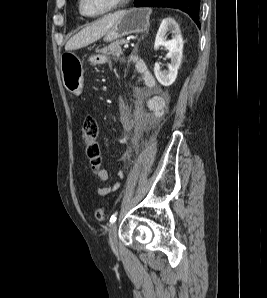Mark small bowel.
<instances>
[{"label": "small bowel", "instance_id": "small-bowel-1", "mask_svg": "<svg viewBox=\"0 0 267 298\" xmlns=\"http://www.w3.org/2000/svg\"><path fill=\"white\" fill-rule=\"evenodd\" d=\"M131 61L134 63L137 72L141 74L144 85L147 88L155 91V93L146 102V107L149 111V115L144 120L143 131L147 132L149 129L154 127L158 120L164 115L166 110V102L163 95L158 91L155 79L148 71L144 61H142L138 57H132ZM90 62L94 66L109 65V60L104 55H94L91 57ZM93 173L103 183V186L99 187L97 190L98 196L104 197L119 188V183H116L113 186L107 184L109 173L106 169H93Z\"/></svg>", "mask_w": 267, "mask_h": 298}]
</instances>
